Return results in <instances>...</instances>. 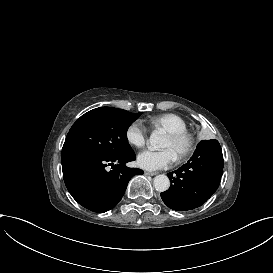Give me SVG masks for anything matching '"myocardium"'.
Listing matches in <instances>:
<instances>
[{"mask_svg": "<svg viewBox=\"0 0 273 273\" xmlns=\"http://www.w3.org/2000/svg\"><path fill=\"white\" fill-rule=\"evenodd\" d=\"M166 136L170 139L183 140L185 142L183 149L176 156L179 161L184 160L193 152L195 147V137L187 130L166 132Z\"/></svg>", "mask_w": 273, "mask_h": 273, "instance_id": "f54148a6", "label": "myocardium"}]
</instances>
